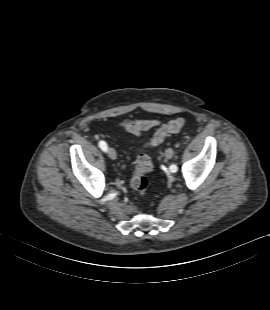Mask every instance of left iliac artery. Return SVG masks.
I'll use <instances>...</instances> for the list:
<instances>
[{"instance_id":"obj_1","label":"left iliac artery","mask_w":270,"mask_h":310,"mask_svg":"<svg viewBox=\"0 0 270 310\" xmlns=\"http://www.w3.org/2000/svg\"><path fill=\"white\" fill-rule=\"evenodd\" d=\"M170 170H171L172 172H176V171H177V166H176L175 164H172V165L170 166Z\"/></svg>"}]
</instances>
